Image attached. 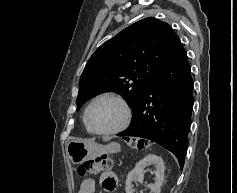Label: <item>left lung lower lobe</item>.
I'll return each mask as SVG.
<instances>
[{
	"instance_id": "1",
	"label": "left lung lower lobe",
	"mask_w": 237,
	"mask_h": 193,
	"mask_svg": "<svg viewBox=\"0 0 237 193\" xmlns=\"http://www.w3.org/2000/svg\"><path fill=\"white\" fill-rule=\"evenodd\" d=\"M193 103L190 65L180 44L150 84L130 127L118 136L154 141L174 153L183 168Z\"/></svg>"
}]
</instances>
